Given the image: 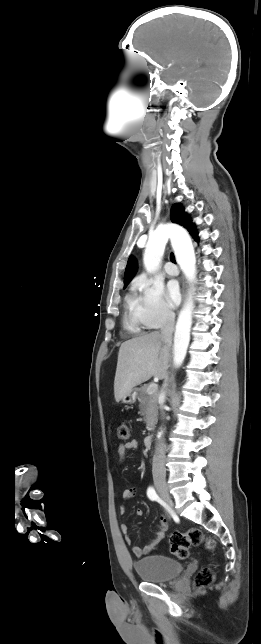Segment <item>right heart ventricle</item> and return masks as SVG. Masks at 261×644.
<instances>
[{
	"label": "right heart ventricle",
	"mask_w": 261,
	"mask_h": 644,
	"mask_svg": "<svg viewBox=\"0 0 261 644\" xmlns=\"http://www.w3.org/2000/svg\"><path fill=\"white\" fill-rule=\"evenodd\" d=\"M126 315L124 318V326L130 332H139L141 325H143L136 313L135 298L128 295L126 298Z\"/></svg>",
	"instance_id": "obj_1"
}]
</instances>
